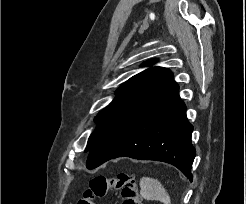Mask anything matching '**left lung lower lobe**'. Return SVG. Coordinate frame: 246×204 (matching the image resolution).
Masks as SVG:
<instances>
[{"instance_id": "0a47b994", "label": "left lung lower lobe", "mask_w": 246, "mask_h": 204, "mask_svg": "<svg viewBox=\"0 0 246 204\" xmlns=\"http://www.w3.org/2000/svg\"><path fill=\"white\" fill-rule=\"evenodd\" d=\"M178 90L172 81L114 122L89 150L87 168L126 156L172 164L192 181L193 126Z\"/></svg>"}]
</instances>
